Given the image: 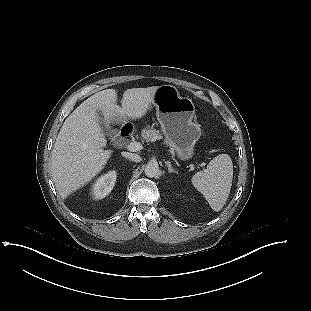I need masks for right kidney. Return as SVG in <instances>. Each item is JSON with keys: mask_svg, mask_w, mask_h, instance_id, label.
I'll return each mask as SVG.
<instances>
[{"mask_svg": "<svg viewBox=\"0 0 311 311\" xmlns=\"http://www.w3.org/2000/svg\"><path fill=\"white\" fill-rule=\"evenodd\" d=\"M115 184L114 176H104L96 181L93 186V194L96 199H103L113 189Z\"/></svg>", "mask_w": 311, "mask_h": 311, "instance_id": "obj_1", "label": "right kidney"}]
</instances>
